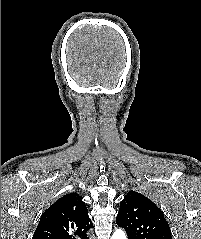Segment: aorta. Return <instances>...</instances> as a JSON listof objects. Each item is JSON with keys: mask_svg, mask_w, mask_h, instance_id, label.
<instances>
[{"mask_svg": "<svg viewBox=\"0 0 201 239\" xmlns=\"http://www.w3.org/2000/svg\"><path fill=\"white\" fill-rule=\"evenodd\" d=\"M111 239H127L125 232L122 229H117Z\"/></svg>", "mask_w": 201, "mask_h": 239, "instance_id": "762f6f07", "label": "aorta"}]
</instances>
